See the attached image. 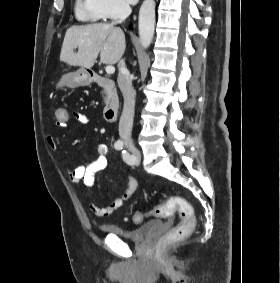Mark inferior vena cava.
<instances>
[{
	"label": "inferior vena cava",
	"instance_id": "inferior-vena-cava-1",
	"mask_svg": "<svg viewBox=\"0 0 280 283\" xmlns=\"http://www.w3.org/2000/svg\"><path fill=\"white\" fill-rule=\"evenodd\" d=\"M132 10L128 3H121L118 10V20L112 24L121 23L125 20ZM118 86L123 94L124 106L119 122V135L126 146H132L133 140L131 137L133 118L135 111V96L136 92L132 86L130 73L126 68L125 62L121 59L118 63Z\"/></svg>",
	"mask_w": 280,
	"mask_h": 283
}]
</instances>
